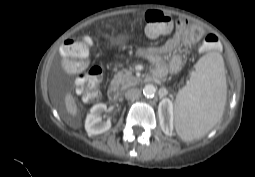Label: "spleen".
Segmentation results:
<instances>
[{
  "instance_id": "1",
  "label": "spleen",
  "mask_w": 255,
  "mask_h": 177,
  "mask_svg": "<svg viewBox=\"0 0 255 177\" xmlns=\"http://www.w3.org/2000/svg\"><path fill=\"white\" fill-rule=\"evenodd\" d=\"M224 61L218 53H208L195 65L190 83L175 102V128L184 141L207 134L221 119L226 103Z\"/></svg>"
}]
</instances>
